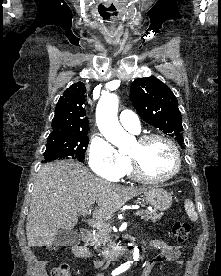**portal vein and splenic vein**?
Segmentation results:
<instances>
[{
  "label": "portal vein and splenic vein",
  "mask_w": 221,
  "mask_h": 276,
  "mask_svg": "<svg viewBox=\"0 0 221 276\" xmlns=\"http://www.w3.org/2000/svg\"><path fill=\"white\" fill-rule=\"evenodd\" d=\"M88 213V211L87 210H85V211H82L81 212V215H83V216H85L86 214ZM144 212L141 210V211H137V212H135V216H140V215H142ZM90 224L93 226V227H105V226H107V224H105V223H97V222H95V221H91L90 222Z\"/></svg>",
  "instance_id": "1"
}]
</instances>
